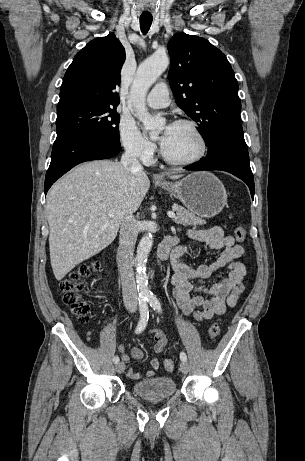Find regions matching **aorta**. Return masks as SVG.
Wrapping results in <instances>:
<instances>
[{
	"label": "aorta",
	"instance_id": "aorta-1",
	"mask_svg": "<svg viewBox=\"0 0 305 461\" xmlns=\"http://www.w3.org/2000/svg\"><path fill=\"white\" fill-rule=\"evenodd\" d=\"M169 59L166 55H154L142 62L136 72L135 81L131 87V100L135 107V116L143 123L144 128L151 136H156L162 129L165 119L152 116L148 113L145 105V96L151 85L166 70ZM153 245L152 233L145 234L137 248L136 283L139 296L150 295L146 263Z\"/></svg>",
	"mask_w": 305,
	"mask_h": 461
}]
</instances>
